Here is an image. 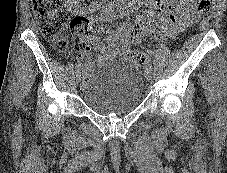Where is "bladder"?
I'll return each instance as SVG.
<instances>
[{
    "label": "bladder",
    "mask_w": 227,
    "mask_h": 173,
    "mask_svg": "<svg viewBox=\"0 0 227 173\" xmlns=\"http://www.w3.org/2000/svg\"><path fill=\"white\" fill-rule=\"evenodd\" d=\"M144 97L140 67L129 59L104 61L85 79L82 99L93 112L122 116L134 111Z\"/></svg>",
    "instance_id": "31cf9c89"
}]
</instances>
